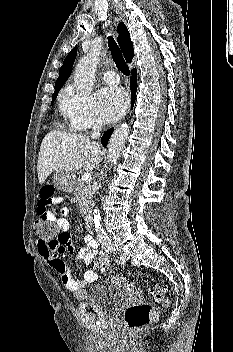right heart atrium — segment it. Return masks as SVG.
Returning a JSON list of instances; mask_svg holds the SVG:
<instances>
[{"instance_id":"right-heart-atrium-1","label":"right heart atrium","mask_w":233,"mask_h":352,"mask_svg":"<svg viewBox=\"0 0 233 352\" xmlns=\"http://www.w3.org/2000/svg\"><path fill=\"white\" fill-rule=\"evenodd\" d=\"M60 110L69 128L76 132L87 131L102 123L93 100L87 95L78 93L71 86L62 92Z\"/></svg>"}]
</instances>
